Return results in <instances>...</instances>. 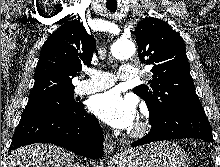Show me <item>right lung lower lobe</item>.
<instances>
[{
    "label": "right lung lower lobe",
    "instance_id": "obj_1",
    "mask_svg": "<svg viewBox=\"0 0 220 167\" xmlns=\"http://www.w3.org/2000/svg\"><path fill=\"white\" fill-rule=\"evenodd\" d=\"M38 142L55 144L91 159L103 156L102 129L82 103L73 109L41 107L23 113L9 151Z\"/></svg>",
    "mask_w": 220,
    "mask_h": 167
}]
</instances>
